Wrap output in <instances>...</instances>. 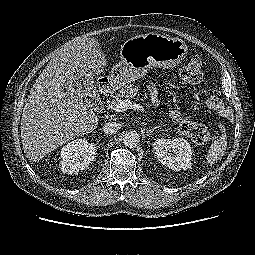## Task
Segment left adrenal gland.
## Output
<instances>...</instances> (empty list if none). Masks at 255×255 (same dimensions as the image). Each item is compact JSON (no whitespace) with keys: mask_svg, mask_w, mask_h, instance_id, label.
I'll list each match as a JSON object with an SVG mask.
<instances>
[{"mask_svg":"<svg viewBox=\"0 0 255 255\" xmlns=\"http://www.w3.org/2000/svg\"><path fill=\"white\" fill-rule=\"evenodd\" d=\"M157 128H159V126H156V127L152 128V129H147L146 132H147L148 134H151V133H152L155 129H157Z\"/></svg>","mask_w":255,"mask_h":255,"instance_id":"1","label":"left adrenal gland"}]
</instances>
